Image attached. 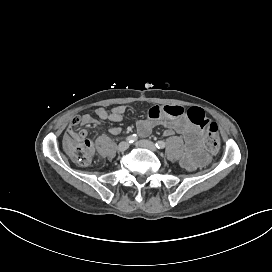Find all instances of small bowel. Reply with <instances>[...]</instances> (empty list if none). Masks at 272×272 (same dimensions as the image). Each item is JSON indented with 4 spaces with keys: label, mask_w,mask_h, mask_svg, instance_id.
Here are the masks:
<instances>
[{
    "label": "small bowel",
    "mask_w": 272,
    "mask_h": 272,
    "mask_svg": "<svg viewBox=\"0 0 272 272\" xmlns=\"http://www.w3.org/2000/svg\"><path fill=\"white\" fill-rule=\"evenodd\" d=\"M125 111L126 108L123 105L115 106L110 110L97 107L93 110L97 118L88 113L74 117L66 130L64 144L68 138L74 137L79 139L83 134L87 133L85 130L76 133L74 131L75 126H96L100 124V120L121 122L125 118ZM156 125H161L166 128V136H170L173 133H178L183 136L185 145L181 158L183 168L188 171H193L205 164L207 156L199 148L200 134L191 124L188 112H186L183 107L178 105H168L164 107L154 106L149 109L146 119H138L136 121L137 130L143 137L149 135ZM109 132L112 135H118L121 132V128L113 126L109 129Z\"/></svg>",
    "instance_id": "obj_1"
}]
</instances>
